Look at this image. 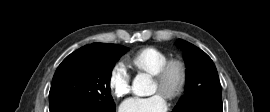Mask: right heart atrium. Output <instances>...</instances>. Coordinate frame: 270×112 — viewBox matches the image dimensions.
Segmentation results:
<instances>
[{"mask_svg": "<svg viewBox=\"0 0 270 112\" xmlns=\"http://www.w3.org/2000/svg\"><path fill=\"white\" fill-rule=\"evenodd\" d=\"M130 73L124 63H116L110 70L108 85L112 95L116 98L125 97L130 91Z\"/></svg>", "mask_w": 270, "mask_h": 112, "instance_id": "1", "label": "right heart atrium"}]
</instances>
